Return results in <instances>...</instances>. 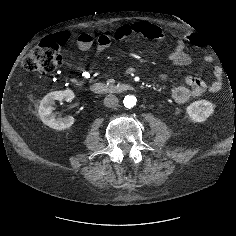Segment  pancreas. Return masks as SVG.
<instances>
[{
  "label": "pancreas",
  "instance_id": "1",
  "mask_svg": "<svg viewBox=\"0 0 236 236\" xmlns=\"http://www.w3.org/2000/svg\"><path fill=\"white\" fill-rule=\"evenodd\" d=\"M107 83H108V84H113V83H114V80H113V79H109V80L107 81Z\"/></svg>",
  "mask_w": 236,
  "mask_h": 236
}]
</instances>
